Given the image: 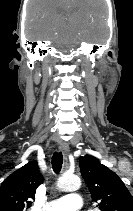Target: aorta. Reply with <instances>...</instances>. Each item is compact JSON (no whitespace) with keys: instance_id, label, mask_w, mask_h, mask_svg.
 Returning a JSON list of instances; mask_svg holds the SVG:
<instances>
[{"instance_id":"1","label":"aorta","mask_w":133,"mask_h":211,"mask_svg":"<svg viewBox=\"0 0 133 211\" xmlns=\"http://www.w3.org/2000/svg\"><path fill=\"white\" fill-rule=\"evenodd\" d=\"M56 185L59 190L71 192L80 188L81 180L75 175H64L58 179Z\"/></svg>"}]
</instances>
